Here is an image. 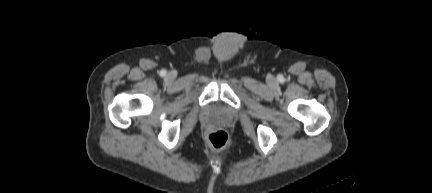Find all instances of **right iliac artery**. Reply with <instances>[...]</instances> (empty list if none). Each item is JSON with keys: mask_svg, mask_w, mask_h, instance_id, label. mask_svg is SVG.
Returning <instances> with one entry per match:
<instances>
[{"mask_svg": "<svg viewBox=\"0 0 432 193\" xmlns=\"http://www.w3.org/2000/svg\"><path fill=\"white\" fill-rule=\"evenodd\" d=\"M160 75H161V76H165V75H166V70H161V71H160Z\"/></svg>", "mask_w": 432, "mask_h": 193, "instance_id": "82829eb1", "label": "right iliac artery"}]
</instances>
